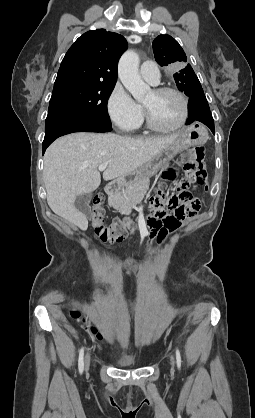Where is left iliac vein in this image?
I'll use <instances>...</instances> for the list:
<instances>
[{
    "instance_id": "left-iliac-vein-1",
    "label": "left iliac vein",
    "mask_w": 255,
    "mask_h": 418,
    "mask_svg": "<svg viewBox=\"0 0 255 418\" xmlns=\"http://www.w3.org/2000/svg\"><path fill=\"white\" fill-rule=\"evenodd\" d=\"M170 360H171L172 369H174V356L173 355H171Z\"/></svg>"
}]
</instances>
